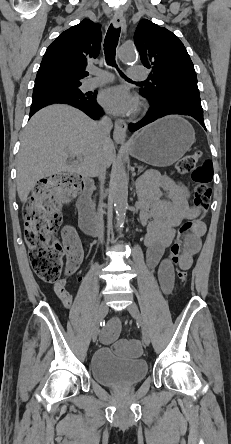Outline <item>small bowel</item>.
<instances>
[{
	"label": "small bowel",
	"instance_id": "obj_1",
	"mask_svg": "<svg viewBox=\"0 0 231 444\" xmlns=\"http://www.w3.org/2000/svg\"><path fill=\"white\" fill-rule=\"evenodd\" d=\"M140 198L142 200L141 220L146 224L148 220L145 245L147 246V262L150 267H157L158 279L162 291L169 294L174 286V265L169 258L163 257L165 249L171 244L175 236V228L183 220H193L199 217L200 210L189 205V193L186 186L167 176L158 173H149L140 182ZM205 233V226L198 222L192 235L187 239L185 250L180 256L179 266L189 269L193 257L199 251L201 237ZM65 247L70 251H77L82 255V245L76 230L65 226L62 230ZM65 280L55 285V291L65 309L72 305V295L65 290ZM120 330V323L113 319L102 330L101 340L105 344L113 342Z\"/></svg>",
	"mask_w": 231,
	"mask_h": 444
}]
</instances>
